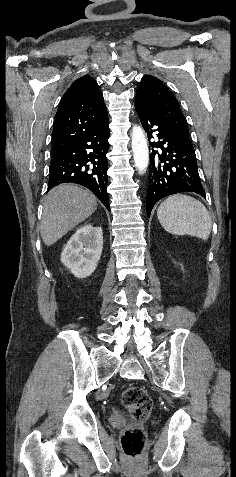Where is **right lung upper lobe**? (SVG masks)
<instances>
[{"label":"right lung upper lobe","instance_id":"cb5924a9","mask_svg":"<svg viewBox=\"0 0 236 477\" xmlns=\"http://www.w3.org/2000/svg\"><path fill=\"white\" fill-rule=\"evenodd\" d=\"M108 121L97 82L85 75L65 92L54 120L53 155L68 149L83 136Z\"/></svg>","mask_w":236,"mask_h":477}]
</instances>
